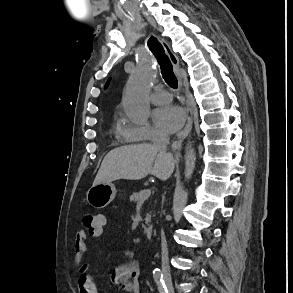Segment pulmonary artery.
Here are the masks:
<instances>
[{"instance_id": "obj_1", "label": "pulmonary artery", "mask_w": 293, "mask_h": 293, "mask_svg": "<svg viewBox=\"0 0 293 293\" xmlns=\"http://www.w3.org/2000/svg\"><path fill=\"white\" fill-rule=\"evenodd\" d=\"M172 99V95L161 88L157 89L154 93L151 94L150 100L154 104H166L169 103Z\"/></svg>"}]
</instances>
